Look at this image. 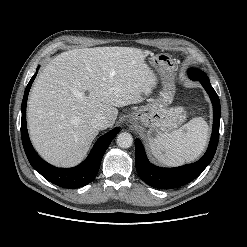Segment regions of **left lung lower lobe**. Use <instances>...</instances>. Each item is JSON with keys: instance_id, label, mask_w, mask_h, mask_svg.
I'll return each mask as SVG.
<instances>
[{"instance_id": "0a47b994", "label": "left lung lower lobe", "mask_w": 247, "mask_h": 247, "mask_svg": "<svg viewBox=\"0 0 247 247\" xmlns=\"http://www.w3.org/2000/svg\"><path fill=\"white\" fill-rule=\"evenodd\" d=\"M193 81H199L208 93L213 104V129L208 149L204 156L195 163L176 168L157 167L149 162L143 144L135 140V164L140 178L148 185L159 189H173L183 186L198 177L214 157L219 140L221 107L218 95L207 76L188 70Z\"/></svg>"}]
</instances>
